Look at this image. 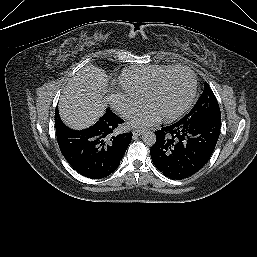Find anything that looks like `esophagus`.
<instances>
[{
    "instance_id": "1",
    "label": "esophagus",
    "mask_w": 257,
    "mask_h": 257,
    "mask_svg": "<svg viewBox=\"0 0 257 257\" xmlns=\"http://www.w3.org/2000/svg\"><path fill=\"white\" fill-rule=\"evenodd\" d=\"M142 133H143L142 130H138V129L133 130V135L134 136H140Z\"/></svg>"
}]
</instances>
